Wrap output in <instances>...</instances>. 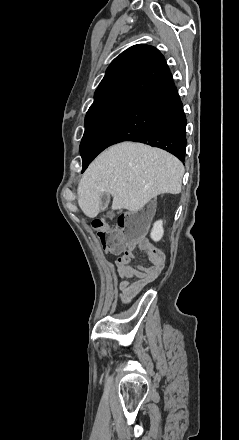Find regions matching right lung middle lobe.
Returning a JSON list of instances; mask_svg holds the SVG:
<instances>
[{"instance_id":"1","label":"right lung middle lobe","mask_w":239,"mask_h":440,"mask_svg":"<svg viewBox=\"0 0 239 440\" xmlns=\"http://www.w3.org/2000/svg\"><path fill=\"white\" fill-rule=\"evenodd\" d=\"M131 99L133 98L118 97L89 108L80 144L81 155H88L94 150L98 140L116 121Z\"/></svg>"}]
</instances>
